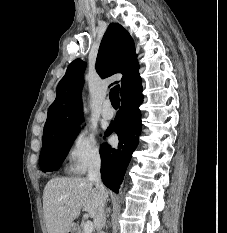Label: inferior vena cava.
Masks as SVG:
<instances>
[{
	"label": "inferior vena cava",
	"instance_id": "1",
	"mask_svg": "<svg viewBox=\"0 0 227 233\" xmlns=\"http://www.w3.org/2000/svg\"><path fill=\"white\" fill-rule=\"evenodd\" d=\"M100 165H101V159L99 156H96L91 160L88 168V179L94 182L96 189L100 193V206L95 218L98 230H101L106 223L104 206L107 200V194L104 185L101 181Z\"/></svg>",
	"mask_w": 227,
	"mask_h": 233
}]
</instances>
